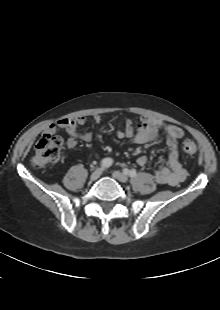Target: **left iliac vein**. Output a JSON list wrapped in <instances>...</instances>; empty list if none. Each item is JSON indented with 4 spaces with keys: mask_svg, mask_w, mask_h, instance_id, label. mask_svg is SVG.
Segmentation results:
<instances>
[{
    "mask_svg": "<svg viewBox=\"0 0 220 310\" xmlns=\"http://www.w3.org/2000/svg\"><path fill=\"white\" fill-rule=\"evenodd\" d=\"M112 175L113 178H115L119 182L125 183L128 181V177L124 173H121L119 171H114Z\"/></svg>",
    "mask_w": 220,
    "mask_h": 310,
    "instance_id": "left-iliac-vein-1",
    "label": "left iliac vein"
}]
</instances>
